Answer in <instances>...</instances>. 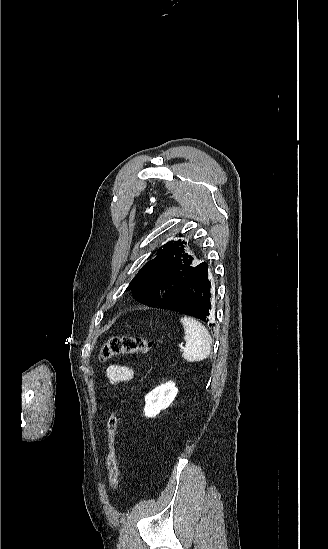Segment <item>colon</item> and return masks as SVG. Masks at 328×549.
I'll list each match as a JSON object with an SVG mask.
<instances>
[{"mask_svg": "<svg viewBox=\"0 0 328 549\" xmlns=\"http://www.w3.org/2000/svg\"><path fill=\"white\" fill-rule=\"evenodd\" d=\"M152 348V343L137 336H112L102 346L99 353L100 361H107L114 356L145 354ZM119 428V416L113 413L107 424V455L106 463L109 472V485L115 491L119 485V468L116 452V436Z\"/></svg>", "mask_w": 328, "mask_h": 549, "instance_id": "colon-1", "label": "colon"}]
</instances>
